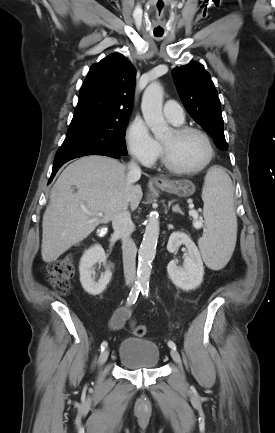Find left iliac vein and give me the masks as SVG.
Masks as SVG:
<instances>
[{
	"instance_id": "1",
	"label": "left iliac vein",
	"mask_w": 275,
	"mask_h": 433,
	"mask_svg": "<svg viewBox=\"0 0 275 433\" xmlns=\"http://www.w3.org/2000/svg\"><path fill=\"white\" fill-rule=\"evenodd\" d=\"M170 355H171L172 359L174 360V362L181 366L180 355H179V353L175 349H172L170 351Z\"/></svg>"
}]
</instances>
